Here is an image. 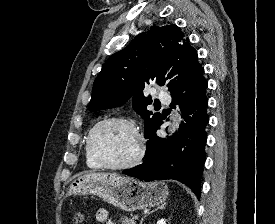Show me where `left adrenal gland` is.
Here are the masks:
<instances>
[{
    "label": "left adrenal gland",
    "mask_w": 275,
    "mask_h": 224,
    "mask_svg": "<svg viewBox=\"0 0 275 224\" xmlns=\"http://www.w3.org/2000/svg\"><path fill=\"white\" fill-rule=\"evenodd\" d=\"M163 208H164V205H161V206H160V207H158L157 209L153 210L151 213H153V212L157 211L158 209H163ZM142 221H143V219L141 220V223H140V224H142Z\"/></svg>",
    "instance_id": "1"
}]
</instances>
